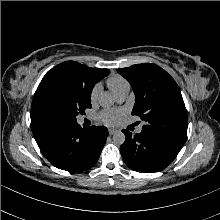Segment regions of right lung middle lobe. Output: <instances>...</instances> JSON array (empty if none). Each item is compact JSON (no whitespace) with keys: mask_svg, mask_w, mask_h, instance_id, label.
I'll return each instance as SVG.
<instances>
[{"mask_svg":"<svg viewBox=\"0 0 220 220\" xmlns=\"http://www.w3.org/2000/svg\"><path fill=\"white\" fill-rule=\"evenodd\" d=\"M91 74L82 68L54 67L40 82L33 98L36 112L43 119L76 123L78 114L91 108Z\"/></svg>","mask_w":220,"mask_h":220,"instance_id":"dd1d6c3e","label":"right lung middle lobe"}]
</instances>
